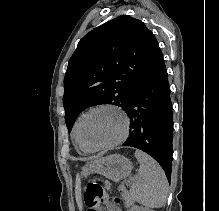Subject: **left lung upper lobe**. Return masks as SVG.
I'll return each mask as SVG.
<instances>
[{"label": "left lung upper lobe", "mask_w": 219, "mask_h": 211, "mask_svg": "<svg viewBox=\"0 0 219 211\" xmlns=\"http://www.w3.org/2000/svg\"><path fill=\"white\" fill-rule=\"evenodd\" d=\"M162 59L154 34L142 21L127 15L86 34L71 56L64 78L68 132L90 106L111 104L125 110L137 84Z\"/></svg>", "instance_id": "left-lung-upper-lobe-1"}]
</instances>
